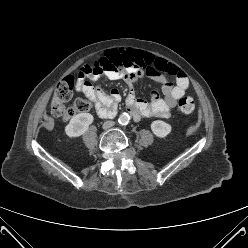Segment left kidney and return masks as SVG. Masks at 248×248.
I'll use <instances>...</instances> for the list:
<instances>
[{
	"mask_svg": "<svg viewBox=\"0 0 248 248\" xmlns=\"http://www.w3.org/2000/svg\"><path fill=\"white\" fill-rule=\"evenodd\" d=\"M151 130L155 136L165 138L171 132L172 127L162 120H156L151 123Z\"/></svg>",
	"mask_w": 248,
	"mask_h": 248,
	"instance_id": "left-kidney-1",
	"label": "left kidney"
}]
</instances>
